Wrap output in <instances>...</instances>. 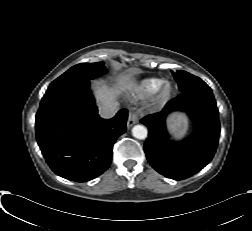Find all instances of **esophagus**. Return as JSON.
I'll return each mask as SVG.
<instances>
[{"mask_svg": "<svg viewBox=\"0 0 252 231\" xmlns=\"http://www.w3.org/2000/svg\"><path fill=\"white\" fill-rule=\"evenodd\" d=\"M138 122V117L136 112H131L128 116V120H127V128L132 127L134 124H136Z\"/></svg>", "mask_w": 252, "mask_h": 231, "instance_id": "1", "label": "esophagus"}]
</instances>
